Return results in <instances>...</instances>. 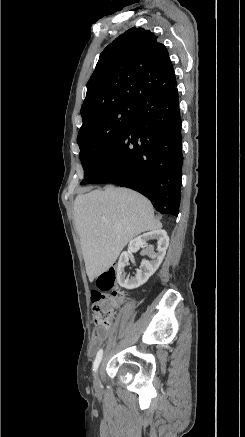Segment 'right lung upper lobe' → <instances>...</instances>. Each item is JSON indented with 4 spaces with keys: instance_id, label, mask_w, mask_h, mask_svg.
Wrapping results in <instances>:
<instances>
[{
    "instance_id": "obj_1",
    "label": "right lung upper lobe",
    "mask_w": 245,
    "mask_h": 437,
    "mask_svg": "<svg viewBox=\"0 0 245 437\" xmlns=\"http://www.w3.org/2000/svg\"><path fill=\"white\" fill-rule=\"evenodd\" d=\"M176 86L166 47L149 30L133 27L100 54L80 113L84 121L104 107L137 105L145 99L168 95Z\"/></svg>"
}]
</instances>
